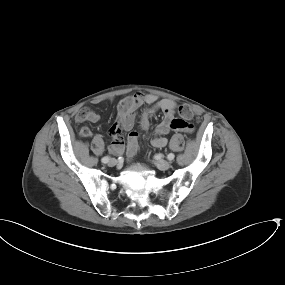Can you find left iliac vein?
<instances>
[{"label": "left iliac vein", "instance_id": "4c4485c4", "mask_svg": "<svg viewBox=\"0 0 285 285\" xmlns=\"http://www.w3.org/2000/svg\"><path fill=\"white\" fill-rule=\"evenodd\" d=\"M156 166L159 170H167L170 168V162L167 160L159 159L156 161Z\"/></svg>", "mask_w": 285, "mask_h": 285}]
</instances>
